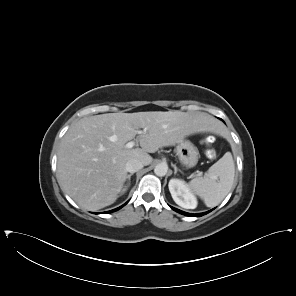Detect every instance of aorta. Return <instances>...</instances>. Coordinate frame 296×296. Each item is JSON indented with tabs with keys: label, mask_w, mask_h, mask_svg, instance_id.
Masks as SVG:
<instances>
[{
	"label": "aorta",
	"mask_w": 296,
	"mask_h": 296,
	"mask_svg": "<svg viewBox=\"0 0 296 296\" xmlns=\"http://www.w3.org/2000/svg\"><path fill=\"white\" fill-rule=\"evenodd\" d=\"M167 171L168 166L164 163L157 164L154 169V173L160 177L165 176L167 174Z\"/></svg>",
	"instance_id": "1"
}]
</instances>
